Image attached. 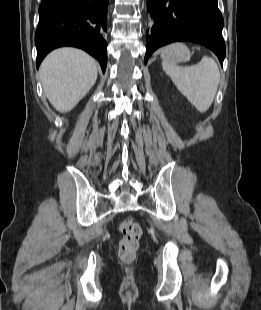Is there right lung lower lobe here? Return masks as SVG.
<instances>
[{"mask_svg":"<svg viewBox=\"0 0 261 310\" xmlns=\"http://www.w3.org/2000/svg\"><path fill=\"white\" fill-rule=\"evenodd\" d=\"M109 0H42L35 33L37 68L51 50L81 48L95 57L105 72L107 64V8Z\"/></svg>","mask_w":261,"mask_h":310,"instance_id":"98d812e1","label":"right lung lower lobe"}]
</instances>
